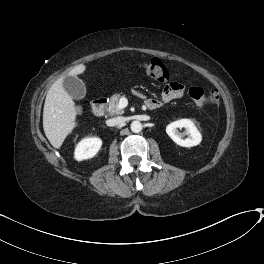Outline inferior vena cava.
<instances>
[{
	"label": "inferior vena cava",
	"instance_id": "inferior-vena-cava-1",
	"mask_svg": "<svg viewBox=\"0 0 264 264\" xmlns=\"http://www.w3.org/2000/svg\"><path fill=\"white\" fill-rule=\"evenodd\" d=\"M125 122V118L124 117H115L111 120V124L113 126H116V125H121Z\"/></svg>",
	"mask_w": 264,
	"mask_h": 264
}]
</instances>
